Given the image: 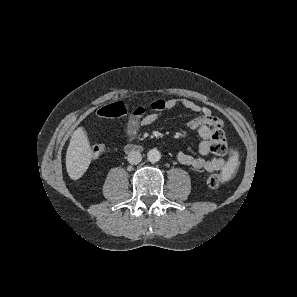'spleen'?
I'll list each match as a JSON object with an SVG mask.
<instances>
[{
    "label": "spleen",
    "mask_w": 297,
    "mask_h": 297,
    "mask_svg": "<svg viewBox=\"0 0 297 297\" xmlns=\"http://www.w3.org/2000/svg\"><path fill=\"white\" fill-rule=\"evenodd\" d=\"M237 161H238V154L237 152H235L232 158L228 161L229 169H233L237 165Z\"/></svg>",
    "instance_id": "obj_1"
}]
</instances>
